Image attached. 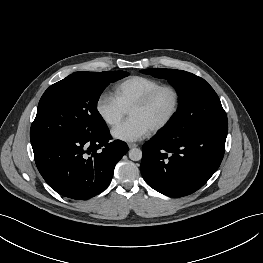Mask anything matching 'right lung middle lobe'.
Here are the masks:
<instances>
[{"mask_svg": "<svg viewBox=\"0 0 263 263\" xmlns=\"http://www.w3.org/2000/svg\"><path fill=\"white\" fill-rule=\"evenodd\" d=\"M124 71L75 72L42 95L30 130L32 148L69 135H85L106 126L97 102L106 86L128 76Z\"/></svg>", "mask_w": 263, "mask_h": 263, "instance_id": "1", "label": "right lung middle lobe"}]
</instances>
